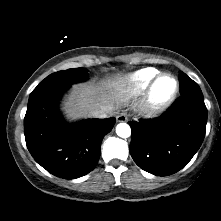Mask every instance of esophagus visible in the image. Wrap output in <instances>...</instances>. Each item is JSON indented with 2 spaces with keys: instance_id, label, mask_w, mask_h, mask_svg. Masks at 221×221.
<instances>
[{
  "instance_id": "34e87169",
  "label": "esophagus",
  "mask_w": 221,
  "mask_h": 221,
  "mask_svg": "<svg viewBox=\"0 0 221 221\" xmlns=\"http://www.w3.org/2000/svg\"><path fill=\"white\" fill-rule=\"evenodd\" d=\"M117 122H127L128 121V116L127 113L122 112L117 115L116 117Z\"/></svg>"
}]
</instances>
